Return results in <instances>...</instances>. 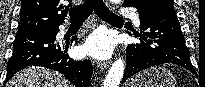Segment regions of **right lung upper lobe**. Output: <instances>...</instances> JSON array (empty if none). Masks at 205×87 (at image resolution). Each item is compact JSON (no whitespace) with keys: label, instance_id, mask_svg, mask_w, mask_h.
I'll list each match as a JSON object with an SVG mask.
<instances>
[{"label":"right lung upper lobe","instance_id":"cb5924a9","mask_svg":"<svg viewBox=\"0 0 205 87\" xmlns=\"http://www.w3.org/2000/svg\"><path fill=\"white\" fill-rule=\"evenodd\" d=\"M71 3V0H68ZM71 4L63 6L60 0H22L19 33L59 27Z\"/></svg>","mask_w":205,"mask_h":87}]
</instances>
